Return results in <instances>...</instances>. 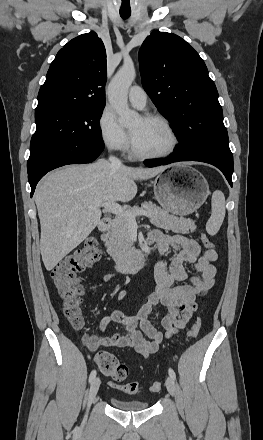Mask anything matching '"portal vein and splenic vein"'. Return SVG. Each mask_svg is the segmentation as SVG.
<instances>
[{"label": "portal vein and splenic vein", "instance_id": "obj_1", "mask_svg": "<svg viewBox=\"0 0 263 440\" xmlns=\"http://www.w3.org/2000/svg\"><path fill=\"white\" fill-rule=\"evenodd\" d=\"M103 207H104L105 211L110 212L112 214H115L117 216L124 217L125 219H127V221L129 222V226L131 228H136L137 227V223H136V220H135V214L126 211L119 204L114 203V202H110V203L104 204ZM136 214L145 215L147 217H151V213L150 212H146V211H137Z\"/></svg>", "mask_w": 263, "mask_h": 440}]
</instances>
